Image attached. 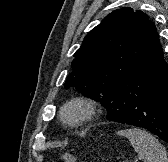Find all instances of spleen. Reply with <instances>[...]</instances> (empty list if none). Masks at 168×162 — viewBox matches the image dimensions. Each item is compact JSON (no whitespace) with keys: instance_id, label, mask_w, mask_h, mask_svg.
Instances as JSON below:
<instances>
[{"instance_id":"1","label":"spleen","mask_w":168,"mask_h":162,"mask_svg":"<svg viewBox=\"0 0 168 162\" xmlns=\"http://www.w3.org/2000/svg\"><path fill=\"white\" fill-rule=\"evenodd\" d=\"M118 134L129 139L139 159L143 162H168L165 148L149 132L131 128L120 130Z\"/></svg>"}]
</instances>
